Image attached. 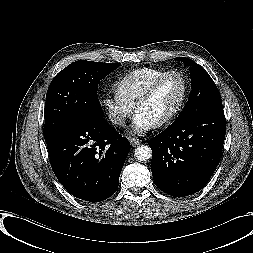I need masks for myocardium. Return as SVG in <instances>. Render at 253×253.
Instances as JSON below:
<instances>
[{"mask_svg": "<svg viewBox=\"0 0 253 253\" xmlns=\"http://www.w3.org/2000/svg\"><path fill=\"white\" fill-rule=\"evenodd\" d=\"M171 75L178 76L182 81V84H183L182 98H181L178 106L176 107V109L170 115H168L166 118H164L162 121L156 123L155 124L156 127H164V126L170 125L180 116V114L184 110L186 103L188 101V97H189V82H188V79L185 76V74L182 71L175 70V69L165 71L164 73L159 75L157 78H155L147 86V88L144 90V92L142 93V95L140 96V98L137 100V102L135 104V110L138 111V109L142 105L147 103L152 98V96L154 95L155 91L157 90V88L161 84V82Z\"/></svg>", "mask_w": 253, "mask_h": 253, "instance_id": "f54148a6", "label": "myocardium"}]
</instances>
